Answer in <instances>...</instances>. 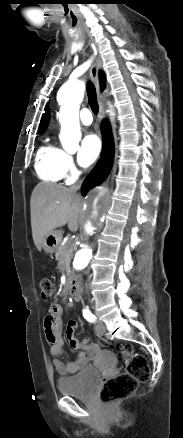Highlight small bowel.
Returning a JSON list of instances; mask_svg holds the SVG:
<instances>
[{"instance_id": "small-bowel-1", "label": "small bowel", "mask_w": 183, "mask_h": 438, "mask_svg": "<svg viewBox=\"0 0 183 438\" xmlns=\"http://www.w3.org/2000/svg\"><path fill=\"white\" fill-rule=\"evenodd\" d=\"M63 309L59 304H52L44 320L46 339L50 345V353L54 357L53 365L61 375L75 374L93 359L99 345L88 340L79 341L75 337L77 322L70 320L66 325V338L69 345L78 351L74 361L64 362L60 358L64 355V340L62 337Z\"/></svg>"}]
</instances>
